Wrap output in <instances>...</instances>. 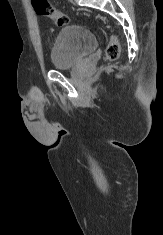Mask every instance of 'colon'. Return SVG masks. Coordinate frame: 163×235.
<instances>
[{
	"label": "colon",
	"instance_id": "obj_1",
	"mask_svg": "<svg viewBox=\"0 0 163 235\" xmlns=\"http://www.w3.org/2000/svg\"><path fill=\"white\" fill-rule=\"evenodd\" d=\"M32 5L39 15L51 18L57 26L62 27L69 23L68 16L54 8L48 0H32ZM119 55L120 45L118 39L116 36L111 35L105 50L106 59L116 60Z\"/></svg>",
	"mask_w": 163,
	"mask_h": 235
}]
</instances>
